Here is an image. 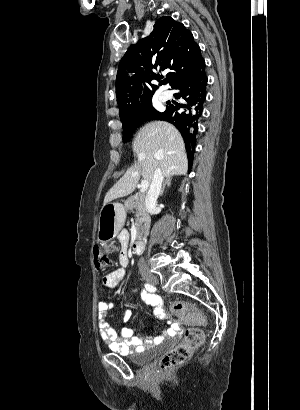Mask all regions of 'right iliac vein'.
I'll return each mask as SVG.
<instances>
[{
  "mask_svg": "<svg viewBox=\"0 0 300 410\" xmlns=\"http://www.w3.org/2000/svg\"><path fill=\"white\" fill-rule=\"evenodd\" d=\"M143 277L147 282L151 284H157L159 282L158 278L149 272L143 273Z\"/></svg>",
  "mask_w": 300,
  "mask_h": 410,
  "instance_id": "1",
  "label": "right iliac vein"
}]
</instances>
